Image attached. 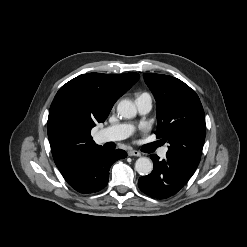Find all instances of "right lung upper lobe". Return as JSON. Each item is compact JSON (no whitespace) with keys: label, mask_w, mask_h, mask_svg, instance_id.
Segmentation results:
<instances>
[{"label":"right lung upper lobe","mask_w":247,"mask_h":247,"mask_svg":"<svg viewBox=\"0 0 247 247\" xmlns=\"http://www.w3.org/2000/svg\"><path fill=\"white\" fill-rule=\"evenodd\" d=\"M140 78L137 73L80 75L57 92L48 116L52 155L62 175L94 150L91 129L104 122L114 103Z\"/></svg>","instance_id":"right-lung-upper-lobe-1"}]
</instances>
